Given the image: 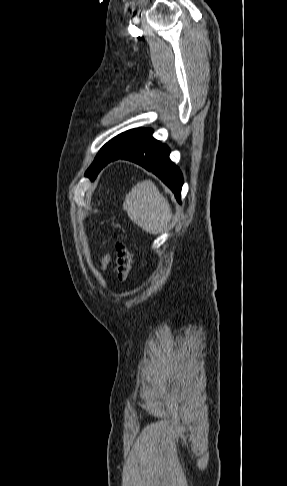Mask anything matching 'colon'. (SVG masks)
<instances>
[{
    "mask_svg": "<svg viewBox=\"0 0 287 486\" xmlns=\"http://www.w3.org/2000/svg\"><path fill=\"white\" fill-rule=\"evenodd\" d=\"M133 265V253L124 242H117L115 245V272L119 280H125Z\"/></svg>",
    "mask_w": 287,
    "mask_h": 486,
    "instance_id": "1",
    "label": "colon"
}]
</instances>
